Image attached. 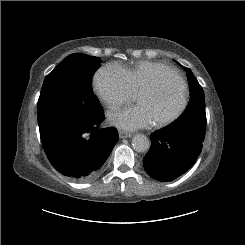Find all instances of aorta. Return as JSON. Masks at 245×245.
Wrapping results in <instances>:
<instances>
[{"label":"aorta","mask_w":245,"mask_h":245,"mask_svg":"<svg viewBox=\"0 0 245 245\" xmlns=\"http://www.w3.org/2000/svg\"><path fill=\"white\" fill-rule=\"evenodd\" d=\"M132 147L137 152H146L150 148V140L143 134H137L132 139Z\"/></svg>","instance_id":"obj_1"}]
</instances>
